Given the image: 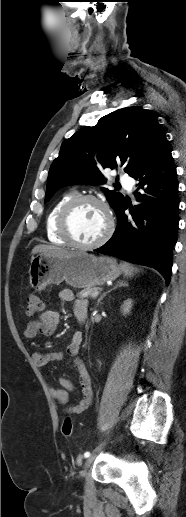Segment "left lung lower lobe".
<instances>
[{
  "mask_svg": "<svg viewBox=\"0 0 186 517\" xmlns=\"http://www.w3.org/2000/svg\"><path fill=\"white\" fill-rule=\"evenodd\" d=\"M138 180L136 199L127 217L125 201L117 208L112 238L96 252L156 268L169 284L179 224L176 166L163 138L131 175Z\"/></svg>",
  "mask_w": 186,
  "mask_h": 517,
  "instance_id": "obj_1",
  "label": "left lung lower lobe"
}]
</instances>
